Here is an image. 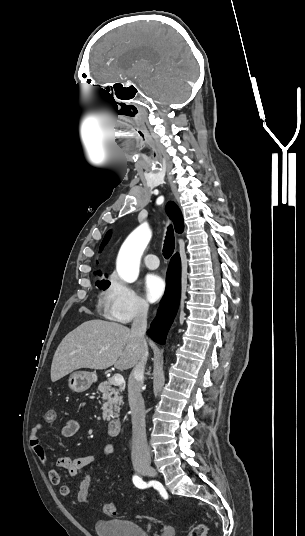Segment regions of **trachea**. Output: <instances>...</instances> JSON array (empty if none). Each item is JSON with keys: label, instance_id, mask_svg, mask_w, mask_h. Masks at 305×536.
<instances>
[{"label": "trachea", "instance_id": "trachea-1", "mask_svg": "<svg viewBox=\"0 0 305 536\" xmlns=\"http://www.w3.org/2000/svg\"><path fill=\"white\" fill-rule=\"evenodd\" d=\"M175 249V237L173 232L172 225H169L167 228L165 240H164V246H163V256L168 260L170 256L173 254Z\"/></svg>", "mask_w": 305, "mask_h": 536}]
</instances>
